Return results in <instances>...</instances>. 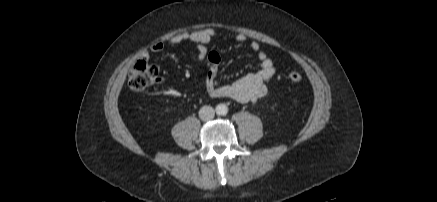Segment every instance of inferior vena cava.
<instances>
[{
	"instance_id": "1",
	"label": "inferior vena cava",
	"mask_w": 437,
	"mask_h": 202,
	"mask_svg": "<svg viewBox=\"0 0 437 202\" xmlns=\"http://www.w3.org/2000/svg\"><path fill=\"white\" fill-rule=\"evenodd\" d=\"M215 111L211 106H203L199 110V117L202 121H210L214 118Z\"/></svg>"
}]
</instances>
